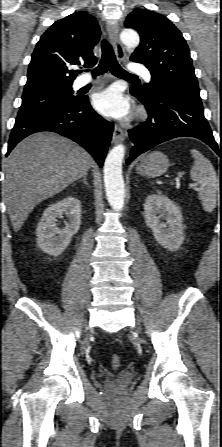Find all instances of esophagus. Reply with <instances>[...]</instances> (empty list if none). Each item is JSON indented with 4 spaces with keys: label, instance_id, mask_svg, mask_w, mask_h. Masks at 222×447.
I'll use <instances>...</instances> for the list:
<instances>
[{
    "label": "esophagus",
    "instance_id": "esophagus-1",
    "mask_svg": "<svg viewBox=\"0 0 222 447\" xmlns=\"http://www.w3.org/2000/svg\"><path fill=\"white\" fill-rule=\"evenodd\" d=\"M107 31L109 38L111 40V43L114 47L115 53L117 55V58L119 60H123L125 57L123 46L119 40L118 33L119 28L116 23H112L110 21L107 22ZM125 138V131L119 127L118 125H115L113 136H112V142L114 144L121 143Z\"/></svg>",
    "mask_w": 222,
    "mask_h": 447
}]
</instances>
